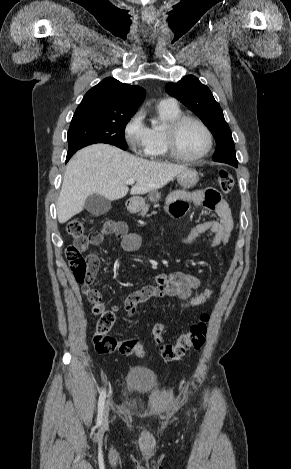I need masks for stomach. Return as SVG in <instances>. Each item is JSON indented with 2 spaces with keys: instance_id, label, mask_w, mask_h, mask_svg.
I'll return each mask as SVG.
<instances>
[{
  "instance_id": "1",
  "label": "stomach",
  "mask_w": 291,
  "mask_h": 469,
  "mask_svg": "<svg viewBox=\"0 0 291 469\" xmlns=\"http://www.w3.org/2000/svg\"><path fill=\"white\" fill-rule=\"evenodd\" d=\"M199 180L198 172L195 169L187 168L177 175V182L183 188H190L194 186ZM149 199L157 203L161 199V194L158 190H152L149 193ZM145 206V198L134 196L129 200V209L133 212H138Z\"/></svg>"
}]
</instances>
